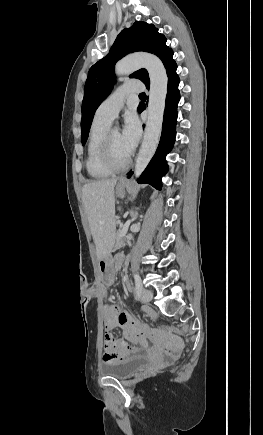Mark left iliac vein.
Segmentation results:
<instances>
[{"label":"left iliac vein","instance_id":"left-iliac-vein-1","mask_svg":"<svg viewBox=\"0 0 263 435\" xmlns=\"http://www.w3.org/2000/svg\"><path fill=\"white\" fill-rule=\"evenodd\" d=\"M153 298V293L149 289L143 288L140 292V299L143 302H150Z\"/></svg>","mask_w":263,"mask_h":435}]
</instances>
